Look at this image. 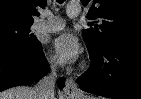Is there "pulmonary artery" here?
<instances>
[{"mask_svg": "<svg viewBox=\"0 0 141 99\" xmlns=\"http://www.w3.org/2000/svg\"><path fill=\"white\" fill-rule=\"evenodd\" d=\"M80 6L78 4H70L67 7V14L69 17H76L80 14ZM42 18L37 20L36 27L44 32H56L62 30L65 22L61 17L54 16L49 11L42 12Z\"/></svg>", "mask_w": 141, "mask_h": 99, "instance_id": "pulmonary-artery-1", "label": "pulmonary artery"}]
</instances>
